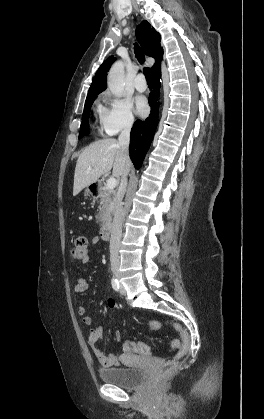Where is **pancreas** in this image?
<instances>
[{
    "mask_svg": "<svg viewBox=\"0 0 264 419\" xmlns=\"http://www.w3.org/2000/svg\"><path fill=\"white\" fill-rule=\"evenodd\" d=\"M99 197L100 207L96 219L101 226H105L112 219L114 206L116 202V193L104 186L100 189Z\"/></svg>",
    "mask_w": 264,
    "mask_h": 419,
    "instance_id": "cf45deb5",
    "label": "pancreas"
}]
</instances>
